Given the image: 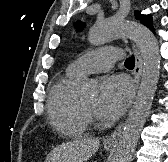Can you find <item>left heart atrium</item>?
<instances>
[{"mask_svg":"<svg viewBox=\"0 0 168 162\" xmlns=\"http://www.w3.org/2000/svg\"><path fill=\"white\" fill-rule=\"evenodd\" d=\"M133 95L131 82L122 75L103 79L96 104L97 115L105 120L118 118L127 109Z\"/></svg>","mask_w":168,"mask_h":162,"instance_id":"obj_1","label":"left heart atrium"}]
</instances>
